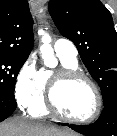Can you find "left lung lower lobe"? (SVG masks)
Here are the masks:
<instances>
[{
	"label": "left lung lower lobe",
	"mask_w": 117,
	"mask_h": 136,
	"mask_svg": "<svg viewBox=\"0 0 117 136\" xmlns=\"http://www.w3.org/2000/svg\"><path fill=\"white\" fill-rule=\"evenodd\" d=\"M87 136H117V96L104 105L98 120L90 125L62 124Z\"/></svg>",
	"instance_id": "left-lung-lower-lobe-1"
}]
</instances>
